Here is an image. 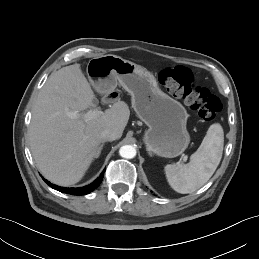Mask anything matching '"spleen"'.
Returning a JSON list of instances; mask_svg holds the SVG:
<instances>
[{
	"mask_svg": "<svg viewBox=\"0 0 259 259\" xmlns=\"http://www.w3.org/2000/svg\"><path fill=\"white\" fill-rule=\"evenodd\" d=\"M224 132L218 123L212 124L187 164H168L164 167L169 185L178 193L188 194L202 187L214 174L223 153Z\"/></svg>",
	"mask_w": 259,
	"mask_h": 259,
	"instance_id": "obj_1",
	"label": "spleen"
}]
</instances>
